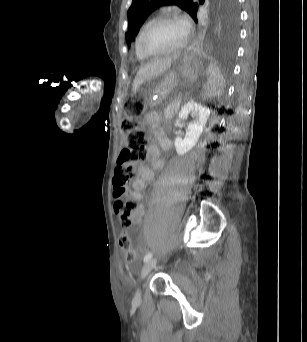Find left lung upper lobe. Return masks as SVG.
Instances as JSON below:
<instances>
[{"label":"left lung upper lobe","instance_id":"left-lung-upper-lobe-1","mask_svg":"<svg viewBox=\"0 0 307 342\" xmlns=\"http://www.w3.org/2000/svg\"><path fill=\"white\" fill-rule=\"evenodd\" d=\"M203 3L204 0H199ZM178 5L187 11L197 22L198 2L194 0H132V5L127 12L128 32L126 41L131 43L133 37L137 34L139 28L146 17L153 9L162 5ZM239 13L237 0H216L215 6V26L217 34V43L220 50L231 55L235 49V43L238 35Z\"/></svg>","mask_w":307,"mask_h":342}]
</instances>
